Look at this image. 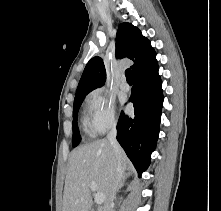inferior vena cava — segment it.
Masks as SVG:
<instances>
[{"label": "inferior vena cava", "instance_id": "602c4592", "mask_svg": "<svg viewBox=\"0 0 221 211\" xmlns=\"http://www.w3.org/2000/svg\"><path fill=\"white\" fill-rule=\"evenodd\" d=\"M116 135H117V130H116V124L114 123L111 126L110 131L107 135V140L110 142L112 146L114 156L116 158V164H115L114 176H113L110 189H109L108 198L104 204L102 211H113V207H114L113 202L116 197V191L123 177V170H122V165L120 161L121 148L117 142Z\"/></svg>", "mask_w": 221, "mask_h": 211}]
</instances>
